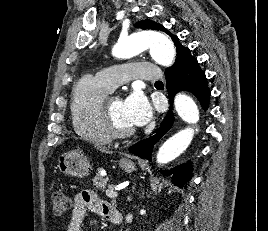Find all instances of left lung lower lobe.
Listing matches in <instances>:
<instances>
[{
  "instance_id": "1",
  "label": "left lung lower lobe",
  "mask_w": 268,
  "mask_h": 231,
  "mask_svg": "<svg viewBox=\"0 0 268 231\" xmlns=\"http://www.w3.org/2000/svg\"><path fill=\"white\" fill-rule=\"evenodd\" d=\"M165 74L171 104L170 110L160 124V127L155 131V135L144 139L129 148V151L132 154L148 160H151L154 144L157 143L172 127L174 122L172 105L174 96L177 92H191L199 100L203 109H207L209 104L210 90L207 85L206 76L194 57L189 58L182 67L170 72H165ZM191 171L192 166L191 163H189L168 172L161 171V173L164 175L173 174L172 178L174 184L182 187L191 179Z\"/></svg>"
}]
</instances>
